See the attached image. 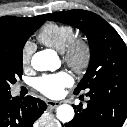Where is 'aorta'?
Wrapping results in <instances>:
<instances>
[{
	"label": "aorta",
	"mask_w": 127,
	"mask_h": 127,
	"mask_svg": "<svg viewBox=\"0 0 127 127\" xmlns=\"http://www.w3.org/2000/svg\"><path fill=\"white\" fill-rule=\"evenodd\" d=\"M31 65L37 71H54L59 66V60L54 51L43 50L33 55ZM57 118L63 123L70 122L74 118L73 107L68 104L60 105L57 108Z\"/></svg>",
	"instance_id": "aorta-1"
}]
</instances>
